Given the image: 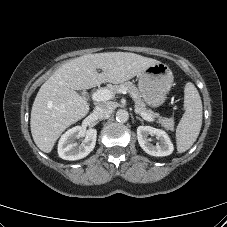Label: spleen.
Returning a JSON list of instances; mask_svg holds the SVG:
<instances>
[{
    "mask_svg": "<svg viewBox=\"0 0 227 227\" xmlns=\"http://www.w3.org/2000/svg\"><path fill=\"white\" fill-rule=\"evenodd\" d=\"M185 112L176 129L179 153L187 151L196 141L202 125V101L195 85L187 82L184 88Z\"/></svg>",
    "mask_w": 227,
    "mask_h": 227,
    "instance_id": "1",
    "label": "spleen"
}]
</instances>
